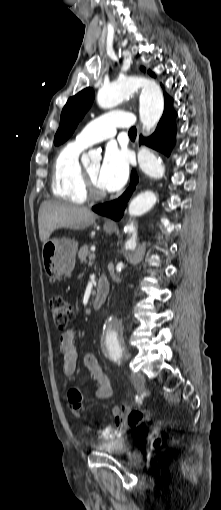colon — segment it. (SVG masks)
<instances>
[{
  "label": "colon",
  "instance_id": "1",
  "mask_svg": "<svg viewBox=\"0 0 221 510\" xmlns=\"http://www.w3.org/2000/svg\"><path fill=\"white\" fill-rule=\"evenodd\" d=\"M49 305L55 326L61 330L65 329L74 318V310L71 304L61 296H54L50 299ZM124 417L129 427H136L143 421L149 420L147 413L135 410L124 412ZM98 433L105 438H109L112 435V430L106 427L100 429ZM159 442L158 439L155 444L157 445Z\"/></svg>",
  "mask_w": 221,
  "mask_h": 510
}]
</instances>
